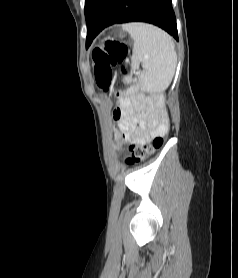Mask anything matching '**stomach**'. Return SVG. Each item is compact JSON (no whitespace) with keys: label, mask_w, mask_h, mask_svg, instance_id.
Listing matches in <instances>:
<instances>
[{"label":"stomach","mask_w":238,"mask_h":278,"mask_svg":"<svg viewBox=\"0 0 238 278\" xmlns=\"http://www.w3.org/2000/svg\"><path fill=\"white\" fill-rule=\"evenodd\" d=\"M120 38H123V35H120Z\"/></svg>","instance_id":"stomach-1"}]
</instances>
